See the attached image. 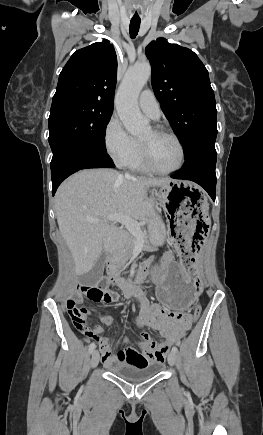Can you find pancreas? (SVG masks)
<instances>
[{
  "mask_svg": "<svg viewBox=\"0 0 263 435\" xmlns=\"http://www.w3.org/2000/svg\"><path fill=\"white\" fill-rule=\"evenodd\" d=\"M142 232L144 234L143 240L146 243V247L150 248L151 246L149 244V241L146 239L147 231L142 230ZM138 240L139 239L130 232V235L128 236L125 245L119 251H117L113 257L112 264H111L112 270H118L123 268L125 265H127V262L131 258L132 251L135 245L137 244Z\"/></svg>",
  "mask_w": 263,
  "mask_h": 435,
  "instance_id": "1",
  "label": "pancreas"
}]
</instances>
